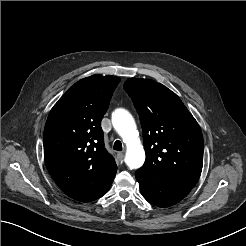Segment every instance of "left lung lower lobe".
<instances>
[{"label":"left lung lower lobe","instance_id":"obj_1","mask_svg":"<svg viewBox=\"0 0 246 246\" xmlns=\"http://www.w3.org/2000/svg\"><path fill=\"white\" fill-rule=\"evenodd\" d=\"M144 198L158 207H169L186 197L192 188L160 180L136 171Z\"/></svg>","mask_w":246,"mask_h":246}]
</instances>
